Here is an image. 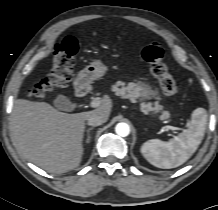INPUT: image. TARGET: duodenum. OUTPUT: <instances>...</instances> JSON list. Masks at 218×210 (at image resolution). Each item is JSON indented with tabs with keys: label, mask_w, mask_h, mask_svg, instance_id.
Wrapping results in <instances>:
<instances>
[{
	"label": "duodenum",
	"mask_w": 218,
	"mask_h": 210,
	"mask_svg": "<svg viewBox=\"0 0 218 210\" xmlns=\"http://www.w3.org/2000/svg\"><path fill=\"white\" fill-rule=\"evenodd\" d=\"M75 85L79 97H84L88 93V83L84 77L77 78Z\"/></svg>",
	"instance_id": "410a0bca"
}]
</instances>
